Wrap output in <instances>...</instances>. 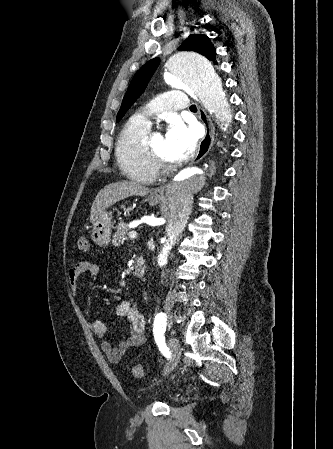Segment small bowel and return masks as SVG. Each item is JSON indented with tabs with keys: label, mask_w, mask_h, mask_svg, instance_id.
<instances>
[{
	"label": "small bowel",
	"mask_w": 333,
	"mask_h": 449,
	"mask_svg": "<svg viewBox=\"0 0 333 449\" xmlns=\"http://www.w3.org/2000/svg\"><path fill=\"white\" fill-rule=\"evenodd\" d=\"M99 272V267L94 263L89 261L78 262L68 273L71 289L74 292L77 291L79 278L83 274L90 273L92 276H96ZM116 313L127 321L129 333L119 341L117 346H113L108 340L102 341L101 349L108 360L113 363L119 362L129 349L143 345L146 339L145 318L137 307L129 301H120L116 305ZM90 329L99 338H104L108 332L106 324L100 320L92 321Z\"/></svg>",
	"instance_id": "1"
}]
</instances>
